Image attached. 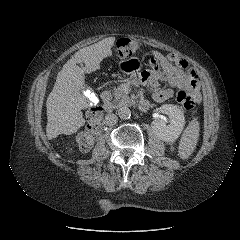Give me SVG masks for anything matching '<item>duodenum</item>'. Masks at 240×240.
I'll return each mask as SVG.
<instances>
[{
	"label": "duodenum",
	"instance_id": "1",
	"mask_svg": "<svg viewBox=\"0 0 240 240\" xmlns=\"http://www.w3.org/2000/svg\"><path fill=\"white\" fill-rule=\"evenodd\" d=\"M102 99H103V107L107 112H110L112 110V104L109 100L108 97V92L104 91L101 95ZM140 107L142 109H147L149 107V103L147 100L142 99L139 103Z\"/></svg>",
	"mask_w": 240,
	"mask_h": 240
}]
</instances>
